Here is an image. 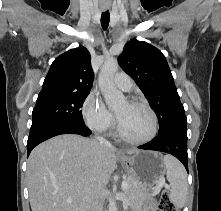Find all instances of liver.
Listing matches in <instances>:
<instances>
[{
	"mask_svg": "<svg viewBox=\"0 0 221 211\" xmlns=\"http://www.w3.org/2000/svg\"><path fill=\"white\" fill-rule=\"evenodd\" d=\"M116 151L114 146L76 134L59 135L39 144L27 161L32 211H90L116 168ZM136 152L125 151L128 155Z\"/></svg>",
	"mask_w": 221,
	"mask_h": 211,
	"instance_id": "obj_1",
	"label": "liver"
}]
</instances>
